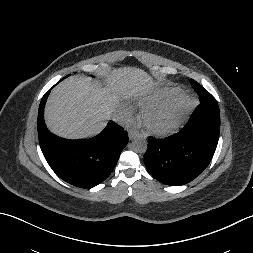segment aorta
<instances>
[{
	"label": "aorta",
	"instance_id": "aorta-1",
	"mask_svg": "<svg viewBox=\"0 0 253 253\" xmlns=\"http://www.w3.org/2000/svg\"><path fill=\"white\" fill-rule=\"evenodd\" d=\"M132 145L135 152L142 154L146 152L148 142L144 137L138 136L133 140Z\"/></svg>",
	"mask_w": 253,
	"mask_h": 253
}]
</instances>
